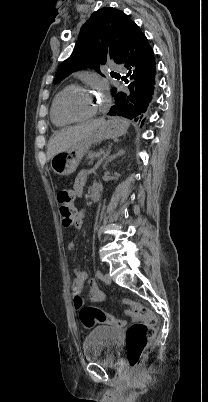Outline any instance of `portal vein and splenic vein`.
Instances as JSON below:
<instances>
[{"label":"portal vein and splenic vein","instance_id":"18ae733b","mask_svg":"<svg viewBox=\"0 0 208 402\" xmlns=\"http://www.w3.org/2000/svg\"><path fill=\"white\" fill-rule=\"evenodd\" d=\"M108 148H111V145H108ZM111 154V149H108L104 153H95L93 155L89 156V159L92 160V163H95V160H99L100 158L107 157L108 155Z\"/></svg>","mask_w":208,"mask_h":402}]
</instances>
